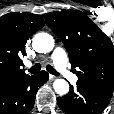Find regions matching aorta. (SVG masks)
<instances>
[{
    "instance_id": "obj_1",
    "label": "aorta",
    "mask_w": 114,
    "mask_h": 114,
    "mask_svg": "<svg viewBox=\"0 0 114 114\" xmlns=\"http://www.w3.org/2000/svg\"><path fill=\"white\" fill-rule=\"evenodd\" d=\"M33 48L39 53H47L54 48V39L47 33H38L32 42ZM54 90L59 95H65L69 91V84L64 79H56L53 83Z\"/></svg>"
}]
</instances>
